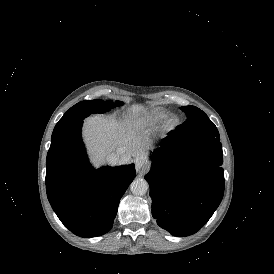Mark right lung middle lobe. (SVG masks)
I'll return each mask as SVG.
<instances>
[{
	"mask_svg": "<svg viewBox=\"0 0 274 274\" xmlns=\"http://www.w3.org/2000/svg\"><path fill=\"white\" fill-rule=\"evenodd\" d=\"M120 105H122V102L120 101H115V103H113L111 100L103 101L101 99L81 101L77 103L71 107L56 124L52 133L51 141L57 139L90 114L104 113L112 109L114 106Z\"/></svg>",
	"mask_w": 274,
	"mask_h": 274,
	"instance_id": "dd1d6c3e",
	"label": "right lung middle lobe"
}]
</instances>
